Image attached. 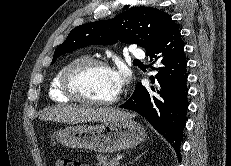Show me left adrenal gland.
<instances>
[{"mask_svg": "<svg viewBox=\"0 0 231 166\" xmlns=\"http://www.w3.org/2000/svg\"><path fill=\"white\" fill-rule=\"evenodd\" d=\"M146 152L142 153L141 155L137 156L136 159L134 161H136L137 159H139L142 155H144ZM134 161H132L131 163H133Z\"/></svg>", "mask_w": 231, "mask_h": 166, "instance_id": "left-adrenal-gland-1", "label": "left adrenal gland"}]
</instances>
